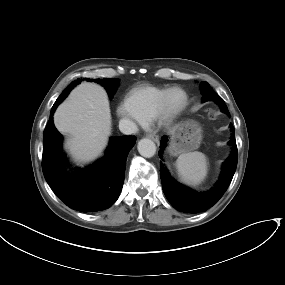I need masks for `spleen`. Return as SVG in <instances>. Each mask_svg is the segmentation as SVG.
I'll return each mask as SVG.
<instances>
[{
  "label": "spleen",
  "instance_id": "3e777b00",
  "mask_svg": "<svg viewBox=\"0 0 285 285\" xmlns=\"http://www.w3.org/2000/svg\"><path fill=\"white\" fill-rule=\"evenodd\" d=\"M175 165L181 180L191 186L202 183L208 174V160L202 152L183 153Z\"/></svg>",
  "mask_w": 285,
  "mask_h": 285
}]
</instances>
